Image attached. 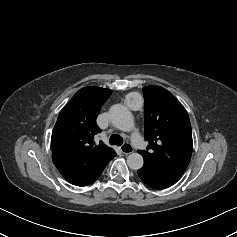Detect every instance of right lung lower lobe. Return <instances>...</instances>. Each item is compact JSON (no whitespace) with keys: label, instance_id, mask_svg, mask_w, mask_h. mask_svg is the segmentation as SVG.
Segmentation results:
<instances>
[{"label":"right lung lower lobe","instance_id":"obj_1","mask_svg":"<svg viewBox=\"0 0 237 237\" xmlns=\"http://www.w3.org/2000/svg\"><path fill=\"white\" fill-rule=\"evenodd\" d=\"M55 166L62 174V176L70 183L76 186H86L92 182H94L103 172L106 165L97 169L95 171L90 172H81L77 169H73L69 166L64 160L57 159L53 160Z\"/></svg>","mask_w":237,"mask_h":237}]
</instances>
